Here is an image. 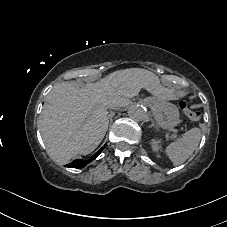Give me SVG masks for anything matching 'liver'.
I'll return each mask as SVG.
<instances>
[{"mask_svg": "<svg viewBox=\"0 0 227 227\" xmlns=\"http://www.w3.org/2000/svg\"><path fill=\"white\" fill-rule=\"evenodd\" d=\"M153 79L149 71L131 68L85 89L69 82L56 84L46 97L39 123L50 157L63 164L76 154L92 153L106 134L110 99L134 97L141 88L150 91Z\"/></svg>", "mask_w": 227, "mask_h": 227, "instance_id": "6515ba94", "label": "liver"}]
</instances>
